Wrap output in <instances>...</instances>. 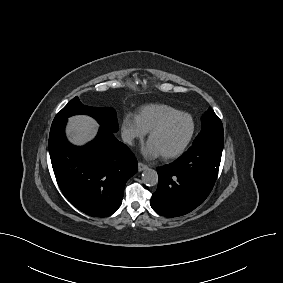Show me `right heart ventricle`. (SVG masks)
<instances>
[{
	"label": "right heart ventricle",
	"instance_id": "right-heart-ventricle-1",
	"mask_svg": "<svg viewBox=\"0 0 283 283\" xmlns=\"http://www.w3.org/2000/svg\"><path fill=\"white\" fill-rule=\"evenodd\" d=\"M176 111L179 110L165 104H147L140 108L137 117L142 127L149 131L163 117Z\"/></svg>",
	"mask_w": 283,
	"mask_h": 283
}]
</instances>
